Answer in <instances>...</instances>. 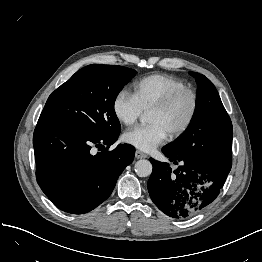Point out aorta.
Instances as JSON below:
<instances>
[{
    "label": "aorta",
    "instance_id": "obj_1",
    "mask_svg": "<svg viewBox=\"0 0 262 262\" xmlns=\"http://www.w3.org/2000/svg\"><path fill=\"white\" fill-rule=\"evenodd\" d=\"M141 122H145V118L141 117ZM135 172L139 177H147L152 173V164L149 160H139L135 163Z\"/></svg>",
    "mask_w": 262,
    "mask_h": 262
}]
</instances>
